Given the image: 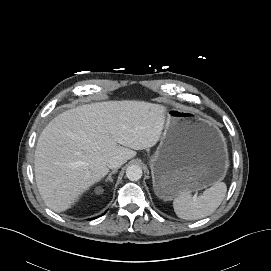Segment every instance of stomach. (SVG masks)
Returning a JSON list of instances; mask_svg holds the SVG:
<instances>
[{"label":"stomach","instance_id":"0dacf381","mask_svg":"<svg viewBox=\"0 0 271 271\" xmlns=\"http://www.w3.org/2000/svg\"><path fill=\"white\" fill-rule=\"evenodd\" d=\"M156 196L170 201L182 192H195L222 180L228 168L226 140L219 128L195 110H167L160 144L150 158Z\"/></svg>","mask_w":271,"mask_h":271}]
</instances>
